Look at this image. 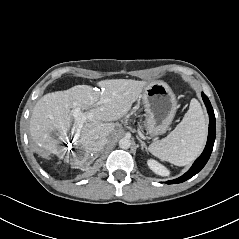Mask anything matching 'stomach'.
<instances>
[{
    "label": "stomach",
    "mask_w": 239,
    "mask_h": 239,
    "mask_svg": "<svg viewBox=\"0 0 239 239\" xmlns=\"http://www.w3.org/2000/svg\"><path fill=\"white\" fill-rule=\"evenodd\" d=\"M145 106V128L150 136L164 134L177 110L176 97L168 84L162 81L147 84L142 91Z\"/></svg>",
    "instance_id": "0dacf381"
}]
</instances>
